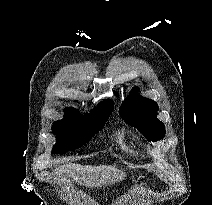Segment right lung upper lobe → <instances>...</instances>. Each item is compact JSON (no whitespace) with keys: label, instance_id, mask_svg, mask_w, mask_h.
Segmentation results:
<instances>
[{"label":"right lung upper lobe","instance_id":"obj_1","mask_svg":"<svg viewBox=\"0 0 212 205\" xmlns=\"http://www.w3.org/2000/svg\"><path fill=\"white\" fill-rule=\"evenodd\" d=\"M101 107H114V102L112 100H105L101 102L100 104H98L97 108H101ZM73 110H76V109H73V108L65 109L66 112L73 111Z\"/></svg>","mask_w":212,"mask_h":205}]
</instances>
